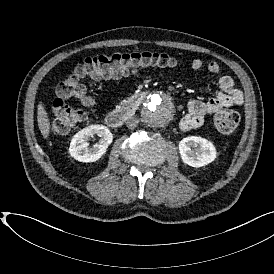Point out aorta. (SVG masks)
Listing matches in <instances>:
<instances>
[{
  "label": "aorta",
  "instance_id": "762f6f07",
  "mask_svg": "<svg viewBox=\"0 0 274 274\" xmlns=\"http://www.w3.org/2000/svg\"><path fill=\"white\" fill-rule=\"evenodd\" d=\"M174 104L170 95L158 93L151 95V99L142 112L143 120L152 127H163L174 117Z\"/></svg>",
  "mask_w": 274,
  "mask_h": 274
}]
</instances>
